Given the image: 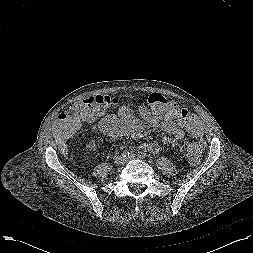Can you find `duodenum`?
Returning a JSON list of instances; mask_svg holds the SVG:
<instances>
[{
	"label": "duodenum",
	"instance_id": "duodenum-1",
	"mask_svg": "<svg viewBox=\"0 0 253 253\" xmlns=\"http://www.w3.org/2000/svg\"><path fill=\"white\" fill-rule=\"evenodd\" d=\"M101 130L110 131L115 128V124L110 122H104L100 125Z\"/></svg>",
	"mask_w": 253,
	"mask_h": 253
}]
</instances>
